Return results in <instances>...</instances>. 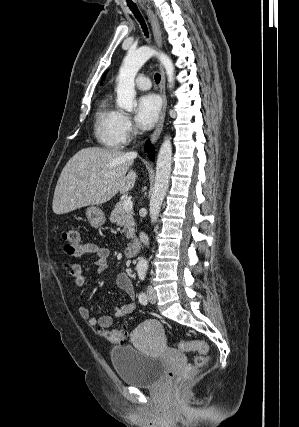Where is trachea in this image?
I'll list each match as a JSON object with an SVG mask.
<instances>
[{
  "mask_svg": "<svg viewBox=\"0 0 299 427\" xmlns=\"http://www.w3.org/2000/svg\"><path fill=\"white\" fill-rule=\"evenodd\" d=\"M128 7L132 11V13L134 14L135 18L141 24V27L143 29L145 36H148V29H147L146 23H145L144 18L142 17V15L140 13V11L138 10V7L136 6V4H128ZM160 79H161L160 74L156 73L155 74V81L157 83H159Z\"/></svg>",
  "mask_w": 299,
  "mask_h": 427,
  "instance_id": "trachea-1",
  "label": "trachea"
}]
</instances>
